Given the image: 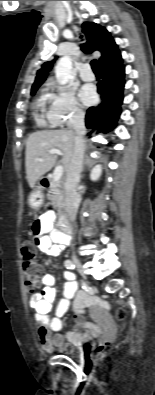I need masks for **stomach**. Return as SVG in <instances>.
<instances>
[{"label":"stomach","mask_w":155,"mask_h":395,"mask_svg":"<svg viewBox=\"0 0 155 395\" xmlns=\"http://www.w3.org/2000/svg\"><path fill=\"white\" fill-rule=\"evenodd\" d=\"M43 198L44 196L41 192L40 187L36 186L29 198L30 206L34 209L41 207V205L43 204Z\"/></svg>","instance_id":"stomach-1"}]
</instances>
